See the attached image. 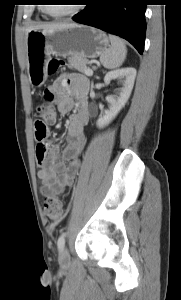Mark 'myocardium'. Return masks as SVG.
<instances>
[{
    "label": "myocardium",
    "mask_w": 181,
    "mask_h": 300,
    "mask_svg": "<svg viewBox=\"0 0 181 300\" xmlns=\"http://www.w3.org/2000/svg\"><path fill=\"white\" fill-rule=\"evenodd\" d=\"M77 5H80V4H77ZM79 9H80V6H76V7H74L73 9H71V10H69L67 12L60 13V14H55L52 11L49 10V8H48L47 5L43 6V11L47 15H49L50 17L56 18V19L74 15L75 13H77L79 11Z\"/></svg>",
    "instance_id": "obj_1"
}]
</instances>
